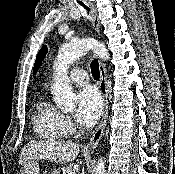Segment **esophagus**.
Wrapping results in <instances>:
<instances>
[{"mask_svg": "<svg viewBox=\"0 0 175 174\" xmlns=\"http://www.w3.org/2000/svg\"><path fill=\"white\" fill-rule=\"evenodd\" d=\"M90 8H91L93 28L96 32H99L100 23H99L96 9L92 4H90ZM98 64H99V71H100L99 88L103 96V115L98 128L93 133L89 142L85 145L86 149L96 148V146L98 145L99 141L101 140L104 134L107 118H108L107 72L104 64L100 60H98Z\"/></svg>", "mask_w": 175, "mask_h": 174, "instance_id": "esophagus-1", "label": "esophagus"}]
</instances>
